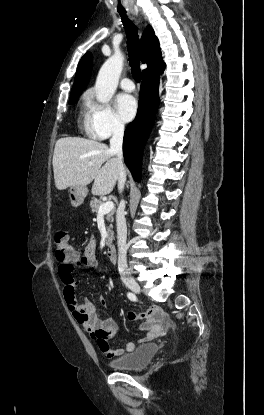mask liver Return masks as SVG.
Returning <instances> with one entry per match:
<instances>
[{"label": "liver", "instance_id": "liver-1", "mask_svg": "<svg viewBox=\"0 0 264 415\" xmlns=\"http://www.w3.org/2000/svg\"><path fill=\"white\" fill-rule=\"evenodd\" d=\"M53 171L58 190L86 186L94 180L92 194L103 196L112 192L118 180L119 165L106 144L66 137L55 144Z\"/></svg>", "mask_w": 264, "mask_h": 415}]
</instances>
